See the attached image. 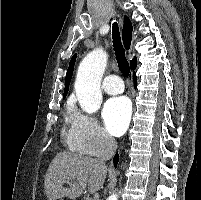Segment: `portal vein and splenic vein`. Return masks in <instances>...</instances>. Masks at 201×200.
Instances as JSON below:
<instances>
[{
	"label": "portal vein and splenic vein",
	"mask_w": 201,
	"mask_h": 200,
	"mask_svg": "<svg viewBox=\"0 0 201 200\" xmlns=\"http://www.w3.org/2000/svg\"><path fill=\"white\" fill-rule=\"evenodd\" d=\"M86 200H90V198H89V197H87V198H86Z\"/></svg>",
	"instance_id": "obj_1"
}]
</instances>
